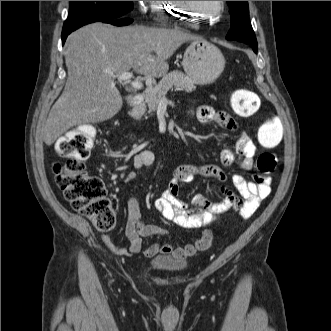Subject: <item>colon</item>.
<instances>
[{
  "mask_svg": "<svg viewBox=\"0 0 331 331\" xmlns=\"http://www.w3.org/2000/svg\"><path fill=\"white\" fill-rule=\"evenodd\" d=\"M234 112L241 117H249L260 108V98L250 90L238 89L230 98ZM282 119L271 116L262 123L258 131V141L265 148H273L281 143ZM96 131L90 125H81L61 137L56 143V152L62 158L54 165L55 181L65 199L78 213L87 217L99 231L111 230L116 214L103 181L87 172L85 160L90 156L95 143ZM257 170L271 174L276 170L277 158L268 151L260 153L256 159ZM211 241L200 238L196 242L199 249H206Z\"/></svg>",
  "mask_w": 331,
  "mask_h": 331,
  "instance_id": "obj_1",
  "label": "colon"
}]
</instances>
